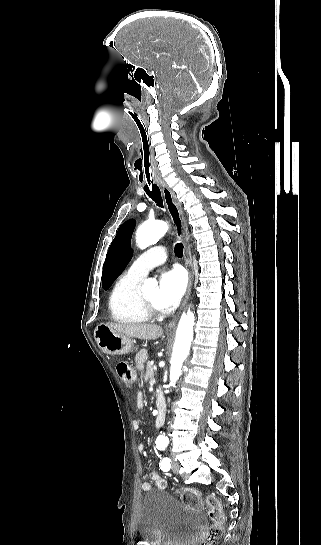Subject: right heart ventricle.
<instances>
[{"instance_id": "1", "label": "right heart ventricle", "mask_w": 321, "mask_h": 545, "mask_svg": "<svg viewBox=\"0 0 321 545\" xmlns=\"http://www.w3.org/2000/svg\"><path fill=\"white\" fill-rule=\"evenodd\" d=\"M141 278L130 272L121 273L109 294L108 312L113 322L119 325H135L151 320V316L137 307L135 290Z\"/></svg>"}]
</instances>
